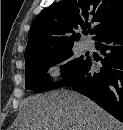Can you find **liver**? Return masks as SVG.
Returning a JSON list of instances; mask_svg holds the SVG:
<instances>
[{
	"label": "liver",
	"instance_id": "6515ba94",
	"mask_svg": "<svg viewBox=\"0 0 123 130\" xmlns=\"http://www.w3.org/2000/svg\"><path fill=\"white\" fill-rule=\"evenodd\" d=\"M123 125L89 98L70 90L29 96L12 130H122Z\"/></svg>",
	"mask_w": 123,
	"mask_h": 130
}]
</instances>
